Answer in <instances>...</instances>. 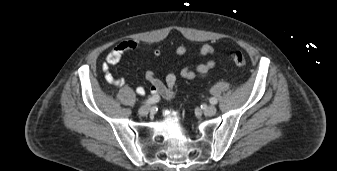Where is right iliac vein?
Masks as SVG:
<instances>
[{"instance_id": "1", "label": "right iliac vein", "mask_w": 337, "mask_h": 171, "mask_svg": "<svg viewBox=\"0 0 337 171\" xmlns=\"http://www.w3.org/2000/svg\"><path fill=\"white\" fill-rule=\"evenodd\" d=\"M150 112V106L148 105H144L142 107H140L138 113L141 115V116H145L147 115L148 113Z\"/></svg>"}]
</instances>
